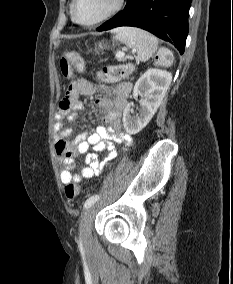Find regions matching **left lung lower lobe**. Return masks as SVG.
<instances>
[{
  "label": "left lung lower lobe",
  "instance_id": "obj_1",
  "mask_svg": "<svg viewBox=\"0 0 233 284\" xmlns=\"http://www.w3.org/2000/svg\"><path fill=\"white\" fill-rule=\"evenodd\" d=\"M192 0H127L125 8L97 31L120 26L147 30L157 37L174 44L184 53L188 35V13Z\"/></svg>",
  "mask_w": 233,
  "mask_h": 284
}]
</instances>
